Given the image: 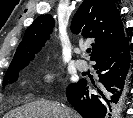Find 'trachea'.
<instances>
[{
	"label": "trachea",
	"mask_w": 133,
	"mask_h": 118,
	"mask_svg": "<svg viewBox=\"0 0 133 118\" xmlns=\"http://www.w3.org/2000/svg\"><path fill=\"white\" fill-rule=\"evenodd\" d=\"M86 51H87V53H90V52H91V49H90V48H88Z\"/></svg>",
	"instance_id": "obj_1"
}]
</instances>
